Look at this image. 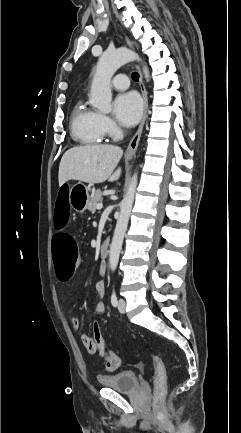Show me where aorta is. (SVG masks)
<instances>
[{
  "instance_id": "obj_1",
  "label": "aorta",
  "mask_w": 241,
  "mask_h": 433,
  "mask_svg": "<svg viewBox=\"0 0 241 433\" xmlns=\"http://www.w3.org/2000/svg\"><path fill=\"white\" fill-rule=\"evenodd\" d=\"M133 60L140 61V58L136 53L127 48L106 51L101 55L91 84L90 103L93 107L103 113H109L111 111V78L122 65ZM143 73L148 81L150 77L149 70L145 65L143 66ZM137 183L138 174L134 173L130 180L127 192L120 203V215L117 220L109 251V263L112 271H115L118 265L120 251L134 202Z\"/></svg>"
}]
</instances>
